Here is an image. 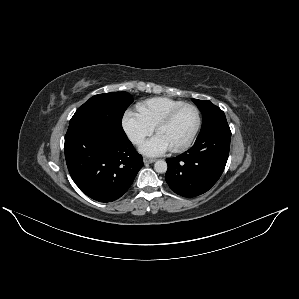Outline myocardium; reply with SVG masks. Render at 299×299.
Returning a JSON list of instances; mask_svg holds the SVG:
<instances>
[{"label": "myocardium", "mask_w": 299, "mask_h": 299, "mask_svg": "<svg viewBox=\"0 0 299 299\" xmlns=\"http://www.w3.org/2000/svg\"><path fill=\"white\" fill-rule=\"evenodd\" d=\"M185 108H192L196 112L197 122H196L195 129H194L193 133L191 134V136L189 137V139L186 142H184L183 144H181L175 148H172L173 151H175V152H180V151L187 149L188 147H190L192 145V143L196 139V137L200 131L201 124H202V115H201L199 108L194 104L185 103V104L173 109L172 111H170L164 118H162L159 121V123L156 126V132L158 133L162 127L170 124L174 120V118L177 116V114Z\"/></svg>", "instance_id": "obj_1"}]
</instances>
